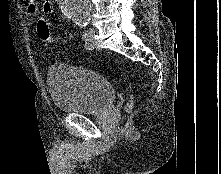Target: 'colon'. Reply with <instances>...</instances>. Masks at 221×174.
Returning <instances> with one entry per match:
<instances>
[{"mask_svg": "<svg viewBox=\"0 0 221 174\" xmlns=\"http://www.w3.org/2000/svg\"><path fill=\"white\" fill-rule=\"evenodd\" d=\"M37 34H38L39 39L43 43H51L53 41L51 33H50L49 23L47 19L44 17H40L38 20ZM127 94H128L127 108L130 109L134 102V95L130 88H127Z\"/></svg>", "mask_w": 221, "mask_h": 174, "instance_id": "5ec220e1", "label": "colon"}]
</instances>
